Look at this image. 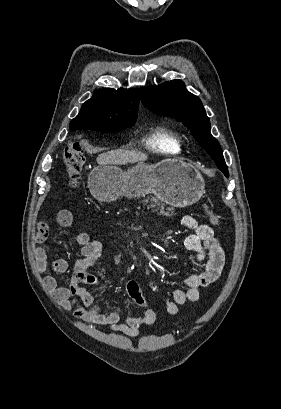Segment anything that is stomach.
<instances>
[{
    "instance_id": "0dacf381",
    "label": "stomach",
    "mask_w": 281,
    "mask_h": 409,
    "mask_svg": "<svg viewBox=\"0 0 281 409\" xmlns=\"http://www.w3.org/2000/svg\"><path fill=\"white\" fill-rule=\"evenodd\" d=\"M88 188L94 198L111 202L119 196H142L153 192L171 207H190L205 192V180L196 166L166 158L156 164L139 162L127 170L115 164L94 166L88 176Z\"/></svg>"
}]
</instances>
